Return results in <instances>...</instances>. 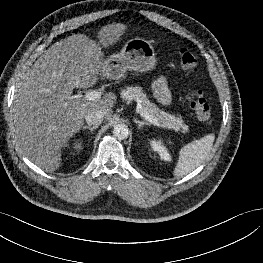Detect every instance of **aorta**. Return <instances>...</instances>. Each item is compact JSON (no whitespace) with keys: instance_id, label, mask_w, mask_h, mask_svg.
<instances>
[{"instance_id":"762f6f07","label":"aorta","mask_w":263,"mask_h":263,"mask_svg":"<svg viewBox=\"0 0 263 263\" xmlns=\"http://www.w3.org/2000/svg\"><path fill=\"white\" fill-rule=\"evenodd\" d=\"M113 134L116 138L123 140L126 139L129 135V129L127 125L118 123L114 126Z\"/></svg>"}]
</instances>
